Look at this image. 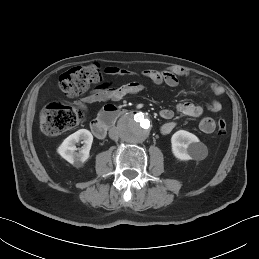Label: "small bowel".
<instances>
[{
  "label": "small bowel",
  "mask_w": 259,
  "mask_h": 259,
  "mask_svg": "<svg viewBox=\"0 0 259 259\" xmlns=\"http://www.w3.org/2000/svg\"><path fill=\"white\" fill-rule=\"evenodd\" d=\"M108 75L113 76H130L131 72L125 68L110 66L105 69ZM190 71L182 66H172L165 70H145L142 72V76L151 81L155 85L165 84L168 87H176L179 84V78L189 76ZM194 80L198 84H203L204 79L199 76H193ZM144 86L137 81H131L121 85H115L112 82H104L91 90L85 97L77 102V105L86 110L87 105L106 102V101H118L122 98L141 92ZM214 94L220 96L224 93V89L213 84L211 86ZM221 103L217 100L212 101L208 104V109L212 112H218L221 110ZM177 111L184 116L188 117H200L204 109L198 104H194L188 101H182L177 104ZM160 116L167 120L161 127L162 134H169L175 128V122L172 120L174 117V112L171 109H162L160 111ZM200 130L205 134H211L215 131L216 124L214 120L210 117H204L199 123Z\"/></svg>",
  "instance_id": "small-bowel-1"
}]
</instances>
